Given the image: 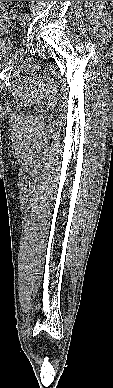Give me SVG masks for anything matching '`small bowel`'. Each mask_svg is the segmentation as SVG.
<instances>
[{
  "instance_id": "c3829d8e",
  "label": "small bowel",
  "mask_w": 113,
  "mask_h": 388,
  "mask_svg": "<svg viewBox=\"0 0 113 388\" xmlns=\"http://www.w3.org/2000/svg\"><path fill=\"white\" fill-rule=\"evenodd\" d=\"M1 15H5V12L1 7V1H0V19H1Z\"/></svg>"
}]
</instances>
